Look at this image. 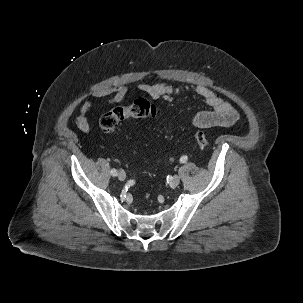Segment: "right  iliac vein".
<instances>
[{"label": "right iliac vein", "instance_id": "63e3f726", "mask_svg": "<svg viewBox=\"0 0 303 303\" xmlns=\"http://www.w3.org/2000/svg\"><path fill=\"white\" fill-rule=\"evenodd\" d=\"M117 176L120 181H124L126 179V173L123 170H120Z\"/></svg>", "mask_w": 303, "mask_h": 303}]
</instances>
